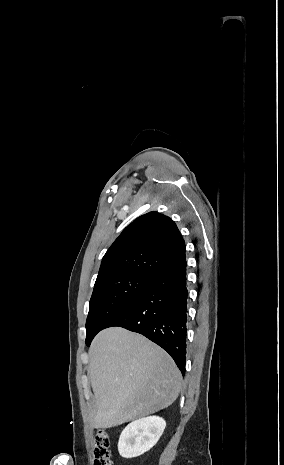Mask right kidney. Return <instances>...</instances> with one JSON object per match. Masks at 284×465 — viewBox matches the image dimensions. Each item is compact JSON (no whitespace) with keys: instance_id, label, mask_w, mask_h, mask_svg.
Listing matches in <instances>:
<instances>
[{"instance_id":"ca27d5eb","label":"right kidney","mask_w":284,"mask_h":465,"mask_svg":"<svg viewBox=\"0 0 284 465\" xmlns=\"http://www.w3.org/2000/svg\"><path fill=\"white\" fill-rule=\"evenodd\" d=\"M165 427L166 421L162 417H145L127 425L118 443L121 457L132 459L150 451L159 441Z\"/></svg>"}]
</instances>
